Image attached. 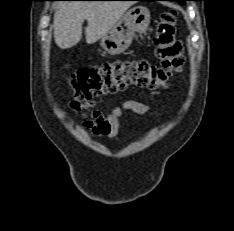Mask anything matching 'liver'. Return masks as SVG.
Segmentation results:
<instances>
[{
  "mask_svg": "<svg viewBox=\"0 0 234 231\" xmlns=\"http://www.w3.org/2000/svg\"><path fill=\"white\" fill-rule=\"evenodd\" d=\"M132 1H73L56 4L54 40L61 49L76 45L87 20L86 42L91 44L106 35L121 19Z\"/></svg>",
  "mask_w": 234,
  "mask_h": 231,
  "instance_id": "liver-1",
  "label": "liver"
}]
</instances>
